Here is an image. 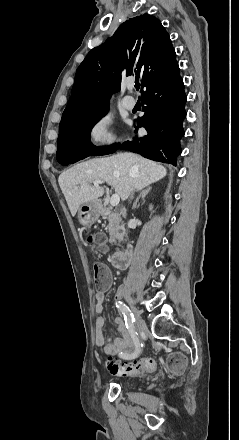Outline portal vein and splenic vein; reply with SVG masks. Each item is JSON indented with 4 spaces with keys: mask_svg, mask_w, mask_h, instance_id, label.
Returning <instances> with one entry per match:
<instances>
[{
    "mask_svg": "<svg viewBox=\"0 0 239 440\" xmlns=\"http://www.w3.org/2000/svg\"><path fill=\"white\" fill-rule=\"evenodd\" d=\"M99 184H104V182H102V180H94L93 186H96V188H99ZM119 202H120V196H118V194H113V196H111V200H110L111 206H118Z\"/></svg>",
    "mask_w": 239,
    "mask_h": 440,
    "instance_id": "1",
    "label": "portal vein and splenic vein"
}]
</instances>
